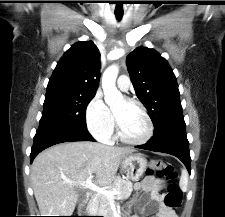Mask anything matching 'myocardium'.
I'll return each instance as SVG.
<instances>
[{"mask_svg": "<svg viewBox=\"0 0 225 217\" xmlns=\"http://www.w3.org/2000/svg\"><path fill=\"white\" fill-rule=\"evenodd\" d=\"M124 99H125L126 102L137 106L141 110V112L143 113V115L145 117L147 128H146V133L142 138H140V139H129L126 136H124V134L122 133L119 122L117 120V117L114 114L115 121H116V128H117V136L120 139V141H122L125 144L135 145V146L145 144L153 136L154 127H153L152 119H151L146 107L139 100L134 99V98H130V97H126Z\"/></svg>", "mask_w": 225, "mask_h": 217, "instance_id": "1", "label": "myocardium"}]
</instances>
